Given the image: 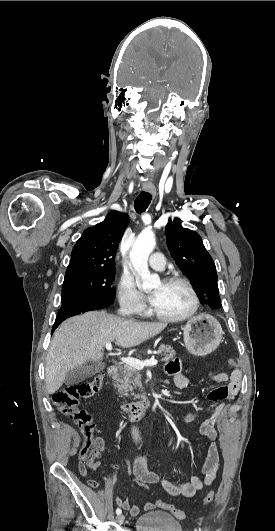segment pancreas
I'll list each match as a JSON object with an SVG mask.
<instances>
[{
  "mask_svg": "<svg viewBox=\"0 0 275 531\" xmlns=\"http://www.w3.org/2000/svg\"><path fill=\"white\" fill-rule=\"evenodd\" d=\"M157 353L158 355H162V361H170L176 355V351L170 345H160ZM112 379L114 387H117L119 393L124 391L122 393L124 397H129L128 391H130V397L140 399V395L134 393V389H143L140 381V373H138L137 369L130 367V365H121V367H118V373Z\"/></svg>",
  "mask_w": 275,
  "mask_h": 531,
  "instance_id": "pancreas-1",
  "label": "pancreas"
}]
</instances>
